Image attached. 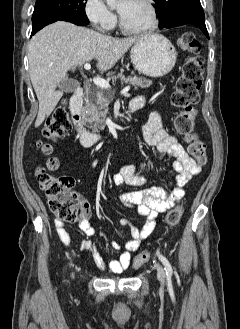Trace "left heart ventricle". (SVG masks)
I'll list each match as a JSON object with an SVG mask.
<instances>
[{
	"instance_id": "left-heart-ventricle-1",
	"label": "left heart ventricle",
	"mask_w": 240,
	"mask_h": 329,
	"mask_svg": "<svg viewBox=\"0 0 240 329\" xmlns=\"http://www.w3.org/2000/svg\"><path fill=\"white\" fill-rule=\"evenodd\" d=\"M117 10L130 28H142L151 22L150 9L144 0H122Z\"/></svg>"
}]
</instances>
